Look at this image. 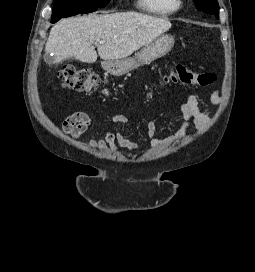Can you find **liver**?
I'll return each instance as SVG.
<instances>
[{
	"mask_svg": "<svg viewBox=\"0 0 255 272\" xmlns=\"http://www.w3.org/2000/svg\"><path fill=\"white\" fill-rule=\"evenodd\" d=\"M170 28L167 18L138 12L70 17L52 27L45 53L53 54L56 63L72 56L94 63L98 56L93 43L104 40L97 49L102 60L124 59Z\"/></svg>",
	"mask_w": 255,
	"mask_h": 272,
	"instance_id": "obj_1",
	"label": "liver"
}]
</instances>
